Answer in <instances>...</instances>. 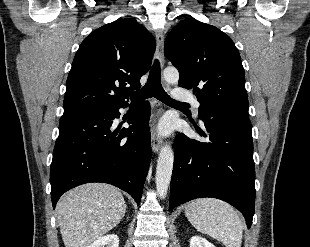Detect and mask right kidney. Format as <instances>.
I'll return each mask as SVG.
<instances>
[{
    "label": "right kidney",
    "mask_w": 310,
    "mask_h": 247,
    "mask_svg": "<svg viewBox=\"0 0 310 247\" xmlns=\"http://www.w3.org/2000/svg\"><path fill=\"white\" fill-rule=\"evenodd\" d=\"M88 247H119V238L115 234H109L95 240Z\"/></svg>",
    "instance_id": "right-kidney-1"
}]
</instances>
